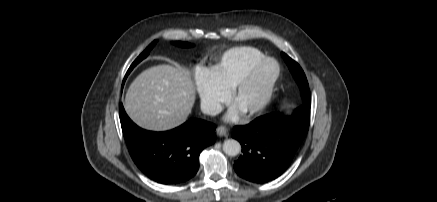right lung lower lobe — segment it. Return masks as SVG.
<instances>
[{"label":"right lung lower lobe","instance_id":"98d812e1","mask_svg":"<svg viewBox=\"0 0 437 202\" xmlns=\"http://www.w3.org/2000/svg\"><path fill=\"white\" fill-rule=\"evenodd\" d=\"M120 122L135 164L150 179L166 185L193 178L201 151L216 140V126L200 119H190L165 132L144 130L131 121L122 104Z\"/></svg>","mask_w":437,"mask_h":202}]
</instances>
